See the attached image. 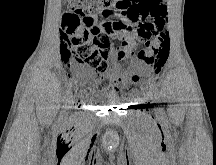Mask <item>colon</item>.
<instances>
[{
  "mask_svg": "<svg viewBox=\"0 0 216 165\" xmlns=\"http://www.w3.org/2000/svg\"><path fill=\"white\" fill-rule=\"evenodd\" d=\"M67 11L60 29V53L64 63L87 67L102 76L109 70L110 39L96 24V15L117 5H132L137 0H66ZM160 13H163L160 11ZM137 17L138 13H129ZM165 17L154 20L140 29L141 48L137 42H126L115 49L119 60L133 59L145 69L159 71L170 50Z\"/></svg>",
  "mask_w": 216,
  "mask_h": 165,
  "instance_id": "1",
  "label": "colon"
}]
</instances>
